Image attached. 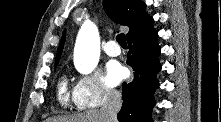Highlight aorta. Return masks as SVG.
I'll use <instances>...</instances> for the list:
<instances>
[{"instance_id": "obj_1", "label": "aorta", "mask_w": 221, "mask_h": 122, "mask_svg": "<svg viewBox=\"0 0 221 122\" xmlns=\"http://www.w3.org/2000/svg\"><path fill=\"white\" fill-rule=\"evenodd\" d=\"M100 56V38L95 24L82 25L75 44L74 65L81 74L91 73L98 64Z\"/></svg>"}]
</instances>
